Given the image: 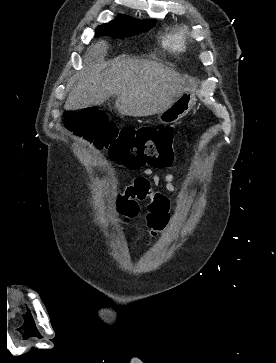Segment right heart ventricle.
Masks as SVG:
<instances>
[{
    "label": "right heart ventricle",
    "mask_w": 276,
    "mask_h": 363,
    "mask_svg": "<svg viewBox=\"0 0 276 363\" xmlns=\"http://www.w3.org/2000/svg\"><path fill=\"white\" fill-rule=\"evenodd\" d=\"M165 44L172 49L179 50L183 46V38L179 34H171L166 37Z\"/></svg>",
    "instance_id": "e07e8e85"
}]
</instances>
